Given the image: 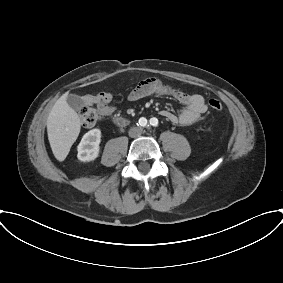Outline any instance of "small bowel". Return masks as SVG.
Returning <instances> with one entry per match:
<instances>
[{
  "label": "small bowel",
  "mask_w": 283,
  "mask_h": 283,
  "mask_svg": "<svg viewBox=\"0 0 283 283\" xmlns=\"http://www.w3.org/2000/svg\"><path fill=\"white\" fill-rule=\"evenodd\" d=\"M169 95L184 105L179 114L169 110H162L160 115L172 123L189 125L194 123L206 112L207 105L203 96L199 94H189L179 89H173L162 85L155 79H146L141 81L127 95L130 102L139 101L150 95ZM87 105H97L101 113L105 116L112 115L115 111L112 101V94L107 91H100L96 94H87L83 97Z\"/></svg>",
  "instance_id": "1"
}]
</instances>
